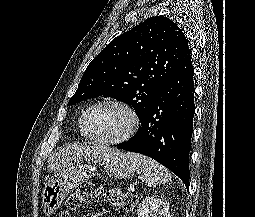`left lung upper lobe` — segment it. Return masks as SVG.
<instances>
[{"label":"left lung upper lobe","mask_w":255,"mask_h":217,"mask_svg":"<svg viewBox=\"0 0 255 217\" xmlns=\"http://www.w3.org/2000/svg\"><path fill=\"white\" fill-rule=\"evenodd\" d=\"M190 54L184 32L169 18L146 19L111 41L93 59L68 106L112 97L144 119L158 89Z\"/></svg>","instance_id":"obj_1"}]
</instances>
